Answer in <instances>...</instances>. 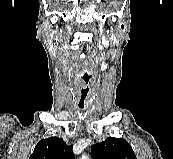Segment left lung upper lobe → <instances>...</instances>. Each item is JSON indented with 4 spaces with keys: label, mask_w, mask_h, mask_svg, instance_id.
I'll use <instances>...</instances> for the list:
<instances>
[{
    "label": "left lung upper lobe",
    "mask_w": 173,
    "mask_h": 159,
    "mask_svg": "<svg viewBox=\"0 0 173 159\" xmlns=\"http://www.w3.org/2000/svg\"><path fill=\"white\" fill-rule=\"evenodd\" d=\"M93 159H136L131 145L124 139L108 137L91 147Z\"/></svg>",
    "instance_id": "left-lung-upper-lobe-1"
}]
</instances>
